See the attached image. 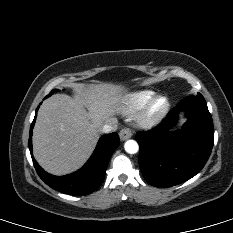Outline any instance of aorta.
Here are the masks:
<instances>
[{"mask_svg": "<svg viewBox=\"0 0 233 233\" xmlns=\"http://www.w3.org/2000/svg\"><path fill=\"white\" fill-rule=\"evenodd\" d=\"M125 151L129 154H135L139 150V145L135 140H128L124 144Z\"/></svg>", "mask_w": 233, "mask_h": 233, "instance_id": "aorta-1", "label": "aorta"}]
</instances>
